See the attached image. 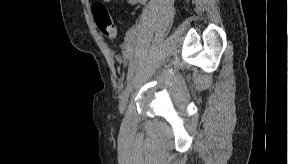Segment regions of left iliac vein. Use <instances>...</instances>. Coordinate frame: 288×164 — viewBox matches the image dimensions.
I'll list each match as a JSON object with an SVG mask.
<instances>
[{
  "instance_id": "obj_1",
  "label": "left iliac vein",
  "mask_w": 288,
  "mask_h": 164,
  "mask_svg": "<svg viewBox=\"0 0 288 164\" xmlns=\"http://www.w3.org/2000/svg\"><path fill=\"white\" fill-rule=\"evenodd\" d=\"M132 90H133V82L130 81L126 86V88L122 94L120 103H119V110L121 113H123L126 109L128 99H129V96H130Z\"/></svg>"
}]
</instances>
